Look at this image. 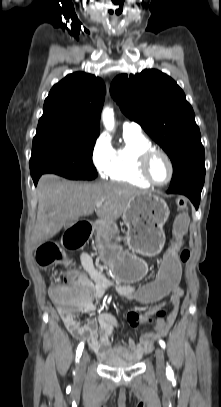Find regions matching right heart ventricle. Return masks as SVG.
<instances>
[{
    "instance_id": "right-heart-ventricle-1",
    "label": "right heart ventricle",
    "mask_w": 221,
    "mask_h": 407,
    "mask_svg": "<svg viewBox=\"0 0 221 407\" xmlns=\"http://www.w3.org/2000/svg\"><path fill=\"white\" fill-rule=\"evenodd\" d=\"M124 142L113 152L109 178L138 187H149L150 184L139 172L141 155L154 148L151 141L141 132L124 131Z\"/></svg>"
}]
</instances>
